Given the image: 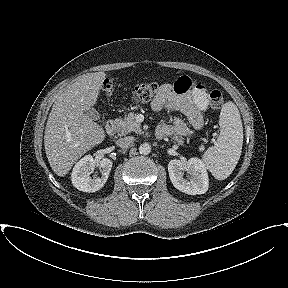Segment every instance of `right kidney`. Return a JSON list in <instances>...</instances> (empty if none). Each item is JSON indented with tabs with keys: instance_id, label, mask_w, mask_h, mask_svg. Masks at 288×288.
Instances as JSON below:
<instances>
[{
	"instance_id": "right-kidney-1",
	"label": "right kidney",
	"mask_w": 288,
	"mask_h": 288,
	"mask_svg": "<svg viewBox=\"0 0 288 288\" xmlns=\"http://www.w3.org/2000/svg\"><path fill=\"white\" fill-rule=\"evenodd\" d=\"M112 161L108 158L95 162L91 155H86L80 159L73 168L71 178L72 184L83 192H96L106 183L112 169ZM98 166L101 169V176H90L91 171Z\"/></svg>"
}]
</instances>
